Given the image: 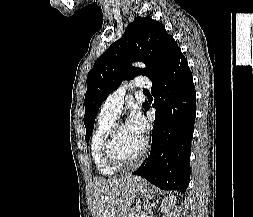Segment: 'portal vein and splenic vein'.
Listing matches in <instances>:
<instances>
[{"mask_svg":"<svg viewBox=\"0 0 253 217\" xmlns=\"http://www.w3.org/2000/svg\"><path fill=\"white\" fill-rule=\"evenodd\" d=\"M135 217H145V212L141 211V212L137 213Z\"/></svg>","mask_w":253,"mask_h":217,"instance_id":"portal-vein-and-splenic-vein-1","label":"portal vein and splenic vein"}]
</instances>
